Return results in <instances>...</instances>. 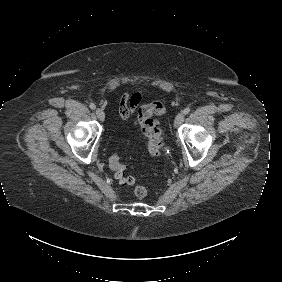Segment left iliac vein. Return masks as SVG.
Wrapping results in <instances>:
<instances>
[{"instance_id":"1","label":"left iliac vein","mask_w":282,"mask_h":282,"mask_svg":"<svg viewBox=\"0 0 282 282\" xmlns=\"http://www.w3.org/2000/svg\"><path fill=\"white\" fill-rule=\"evenodd\" d=\"M184 121V113L180 112L176 115L175 117V121H174V125L175 127H178L182 124V122Z\"/></svg>"}]
</instances>
